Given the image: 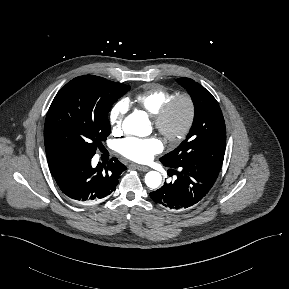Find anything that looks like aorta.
Returning <instances> with one entry per match:
<instances>
[{"label": "aorta", "mask_w": 289, "mask_h": 289, "mask_svg": "<svg viewBox=\"0 0 289 289\" xmlns=\"http://www.w3.org/2000/svg\"><path fill=\"white\" fill-rule=\"evenodd\" d=\"M123 126L128 132L137 134L139 131L147 128L148 117L145 112L135 110L124 120ZM161 181V174L156 171H150L145 176V183L151 189L158 188Z\"/></svg>", "instance_id": "obj_1"}]
</instances>
